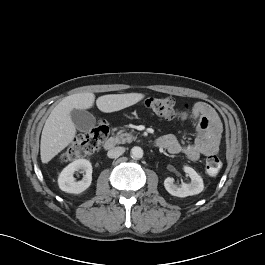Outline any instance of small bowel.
Wrapping results in <instances>:
<instances>
[{
	"label": "small bowel",
	"instance_id": "small-bowel-1",
	"mask_svg": "<svg viewBox=\"0 0 265 265\" xmlns=\"http://www.w3.org/2000/svg\"><path fill=\"white\" fill-rule=\"evenodd\" d=\"M193 114L198 119L195 140L182 144L174 135L161 137L162 147L171 154L183 153L190 160L201 156L214 155L219 150L222 124L215 109L208 103L200 101L194 104Z\"/></svg>",
	"mask_w": 265,
	"mask_h": 265
}]
</instances>
